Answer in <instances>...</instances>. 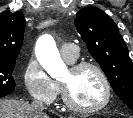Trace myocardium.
<instances>
[{
    "instance_id": "myocardium-1",
    "label": "myocardium",
    "mask_w": 133,
    "mask_h": 118,
    "mask_svg": "<svg viewBox=\"0 0 133 118\" xmlns=\"http://www.w3.org/2000/svg\"><path fill=\"white\" fill-rule=\"evenodd\" d=\"M87 68L93 69L94 71L97 72V74L101 78V81L105 89L104 99L98 105H95L92 107L80 106L73 101V99L70 96L68 87L64 82L62 81L60 82V87H61L63 102L68 109L78 113L93 114L103 110L108 106L112 97V87H111L110 80L107 74L105 73V71L98 64L94 62H89V61L75 62L71 65L70 70L73 73H77Z\"/></svg>"
}]
</instances>
